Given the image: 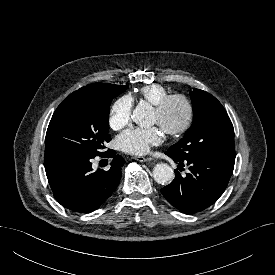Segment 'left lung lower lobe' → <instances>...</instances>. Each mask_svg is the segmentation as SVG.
<instances>
[{
	"label": "left lung lower lobe",
	"instance_id": "0a47b994",
	"mask_svg": "<svg viewBox=\"0 0 275 275\" xmlns=\"http://www.w3.org/2000/svg\"><path fill=\"white\" fill-rule=\"evenodd\" d=\"M178 167L189 166L186 176L175 170V179L161 189L165 199L183 213L200 212L211 206L225 191L233 173L235 159L208 154L195 155L186 160L166 151Z\"/></svg>",
	"mask_w": 275,
	"mask_h": 275
}]
</instances>
